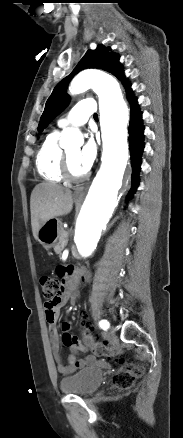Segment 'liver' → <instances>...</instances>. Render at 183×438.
Listing matches in <instances>:
<instances>
[{"label": "liver", "mask_w": 183, "mask_h": 438, "mask_svg": "<svg viewBox=\"0 0 183 438\" xmlns=\"http://www.w3.org/2000/svg\"><path fill=\"white\" fill-rule=\"evenodd\" d=\"M73 208L72 192L51 183L38 184L31 193L30 210L33 236L38 240L41 226L48 220L65 216Z\"/></svg>", "instance_id": "6515ba94"}]
</instances>
